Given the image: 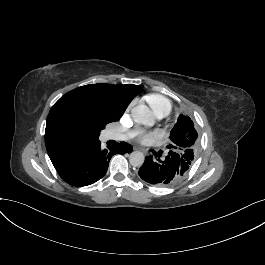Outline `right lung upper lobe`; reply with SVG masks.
Returning a JSON list of instances; mask_svg holds the SVG:
<instances>
[{
    "instance_id": "obj_1",
    "label": "right lung upper lobe",
    "mask_w": 265,
    "mask_h": 265,
    "mask_svg": "<svg viewBox=\"0 0 265 265\" xmlns=\"http://www.w3.org/2000/svg\"><path fill=\"white\" fill-rule=\"evenodd\" d=\"M142 87L126 84L112 85L106 83L90 84L76 88L64 96L69 95H97L109 96L124 105H129L132 99L137 96ZM59 100L51 108L47 117L45 129V144L48 155L53 165L59 163L64 157L73 151L98 142L99 132L95 129L69 130L60 125L57 116Z\"/></svg>"
}]
</instances>
